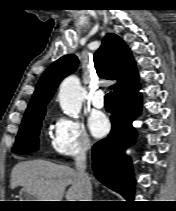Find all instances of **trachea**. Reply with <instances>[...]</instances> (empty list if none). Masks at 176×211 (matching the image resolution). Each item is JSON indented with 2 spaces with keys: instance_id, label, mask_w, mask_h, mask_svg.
<instances>
[{
  "instance_id": "1",
  "label": "trachea",
  "mask_w": 176,
  "mask_h": 211,
  "mask_svg": "<svg viewBox=\"0 0 176 211\" xmlns=\"http://www.w3.org/2000/svg\"><path fill=\"white\" fill-rule=\"evenodd\" d=\"M105 101L106 102H112L113 101V95H112V92L108 93L105 95Z\"/></svg>"
}]
</instances>
